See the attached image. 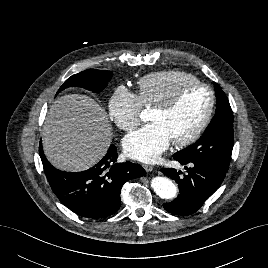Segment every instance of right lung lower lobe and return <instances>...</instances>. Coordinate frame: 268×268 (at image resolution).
<instances>
[{
    "mask_svg": "<svg viewBox=\"0 0 268 268\" xmlns=\"http://www.w3.org/2000/svg\"><path fill=\"white\" fill-rule=\"evenodd\" d=\"M39 153L49 184L60 202L87 218H105L116 212L123 184L146 173L138 164L116 163L117 152L113 145L96 165L77 173L54 168L44 156L41 143Z\"/></svg>",
    "mask_w": 268,
    "mask_h": 268,
    "instance_id": "right-lung-lower-lobe-1",
    "label": "right lung lower lobe"
}]
</instances>
